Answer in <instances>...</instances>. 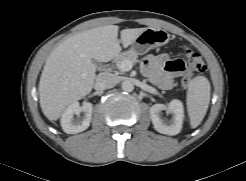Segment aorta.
<instances>
[{
    "mask_svg": "<svg viewBox=\"0 0 246 181\" xmlns=\"http://www.w3.org/2000/svg\"><path fill=\"white\" fill-rule=\"evenodd\" d=\"M122 90L125 92H132L134 89V85L130 80H125L121 84Z\"/></svg>",
    "mask_w": 246,
    "mask_h": 181,
    "instance_id": "1",
    "label": "aorta"
}]
</instances>
